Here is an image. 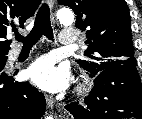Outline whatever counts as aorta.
Returning <instances> with one entry per match:
<instances>
[{"instance_id":"1","label":"aorta","mask_w":142,"mask_h":119,"mask_svg":"<svg viewBox=\"0 0 142 119\" xmlns=\"http://www.w3.org/2000/svg\"><path fill=\"white\" fill-rule=\"evenodd\" d=\"M57 19L62 24H70L74 20V14L67 8H62L57 13ZM47 119H53L52 116H47Z\"/></svg>"}]
</instances>
